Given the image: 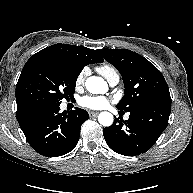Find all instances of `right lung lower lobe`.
<instances>
[{"label": "right lung lower lobe", "instance_id": "obj_1", "mask_svg": "<svg viewBox=\"0 0 193 193\" xmlns=\"http://www.w3.org/2000/svg\"><path fill=\"white\" fill-rule=\"evenodd\" d=\"M59 110V105L49 106L19 122L31 147L47 157L72 151L78 143L82 123L89 118L88 112L80 108L68 114Z\"/></svg>", "mask_w": 193, "mask_h": 193}]
</instances>
